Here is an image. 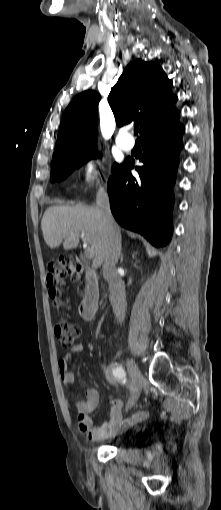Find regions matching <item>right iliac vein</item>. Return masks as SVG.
Returning <instances> with one entry per match:
<instances>
[{
  "mask_svg": "<svg viewBox=\"0 0 221 510\" xmlns=\"http://www.w3.org/2000/svg\"><path fill=\"white\" fill-rule=\"evenodd\" d=\"M126 364L133 382L131 397L127 404V409H131L134 407L140 396V392L144 384V377L133 359L127 358Z\"/></svg>",
  "mask_w": 221,
  "mask_h": 510,
  "instance_id": "1",
  "label": "right iliac vein"
}]
</instances>
